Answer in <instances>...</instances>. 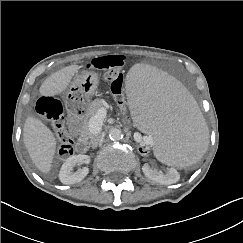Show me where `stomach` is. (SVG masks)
Returning a JSON list of instances; mask_svg holds the SVG:
<instances>
[{
  "mask_svg": "<svg viewBox=\"0 0 243 243\" xmlns=\"http://www.w3.org/2000/svg\"><path fill=\"white\" fill-rule=\"evenodd\" d=\"M99 86L98 74L87 71L71 83L64 96V103L70 119H79L87 111L90 97Z\"/></svg>",
  "mask_w": 243,
  "mask_h": 243,
  "instance_id": "obj_1",
  "label": "stomach"
}]
</instances>
